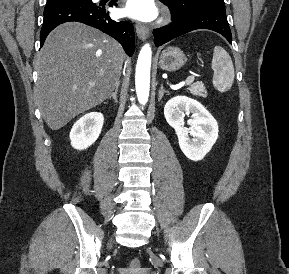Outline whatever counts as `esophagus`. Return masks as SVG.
<instances>
[{"instance_id": "obj_1", "label": "esophagus", "mask_w": 289, "mask_h": 274, "mask_svg": "<svg viewBox=\"0 0 289 274\" xmlns=\"http://www.w3.org/2000/svg\"><path fill=\"white\" fill-rule=\"evenodd\" d=\"M136 32H137L139 39L141 40H145L149 34L148 28L141 23L136 24Z\"/></svg>"}]
</instances>
